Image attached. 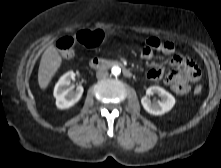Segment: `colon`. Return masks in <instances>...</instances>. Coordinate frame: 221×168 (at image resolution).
Here are the masks:
<instances>
[{
	"label": "colon",
	"instance_id": "obj_1",
	"mask_svg": "<svg viewBox=\"0 0 221 168\" xmlns=\"http://www.w3.org/2000/svg\"><path fill=\"white\" fill-rule=\"evenodd\" d=\"M104 32L101 30H83L77 33L76 37H62L57 42V48L64 60H69L74 55L75 43L94 48L99 46L104 40ZM146 45L150 48L160 51L165 45L157 38H149L146 40ZM202 92V87L200 85L194 88L195 94H200Z\"/></svg>",
	"mask_w": 221,
	"mask_h": 168
}]
</instances>
